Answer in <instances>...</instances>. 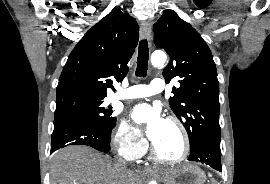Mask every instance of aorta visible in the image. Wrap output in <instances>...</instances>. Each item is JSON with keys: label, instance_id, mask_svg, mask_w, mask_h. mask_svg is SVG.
I'll return each mask as SVG.
<instances>
[{"label": "aorta", "instance_id": "762f6f07", "mask_svg": "<svg viewBox=\"0 0 270 184\" xmlns=\"http://www.w3.org/2000/svg\"><path fill=\"white\" fill-rule=\"evenodd\" d=\"M167 56L162 51H156L151 56V63L155 67H161L166 62ZM149 184H157L155 181H151Z\"/></svg>", "mask_w": 270, "mask_h": 184}]
</instances>
